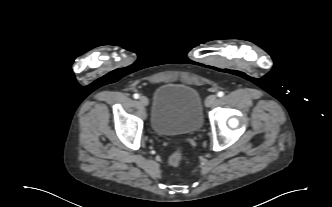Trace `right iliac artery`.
I'll use <instances>...</instances> for the list:
<instances>
[{"instance_id": "obj_1", "label": "right iliac artery", "mask_w": 332, "mask_h": 207, "mask_svg": "<svg viewBox=\"0 0 332 207\" xmlns=\"http://www.w3.org/2000/svg\"><path fill=\"white\" fill-rule=\"evenodd\" d=\"M133 97H134L135 99H138V98H139V94L136 93V94L133 95Z\"/></svg>"}]
</instances>
